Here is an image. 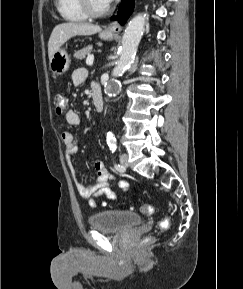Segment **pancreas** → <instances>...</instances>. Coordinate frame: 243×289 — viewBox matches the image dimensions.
Returning <instances> with one entry per match:
<instances>
[{"label": "pancreas", "instance_id": "pancreas-1", "mask_svg": "<svg viewBox=\"0 0 243 289\" xmlns=\"http://www.w3.org/2000/svg\"><path fill=\"white\" fill-rule=\"evenodd\" d=\"M92 51V46L88 45L87 47H84L83 49L76 51L74 53V57L77 59H84L86 56L90 55Z\"/></svg>", "mask_w": 243, "mask_h": 289}]
</instances>
